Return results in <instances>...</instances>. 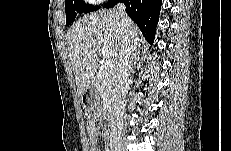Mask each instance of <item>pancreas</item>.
Instances as JSON below:
<instances>
[{"mask_svg":"<svg viewBox=\"0 0 231 151\" xmlns=\"http://www.w3.org/2000/svg\"><path fill=\"white\" fill-rule=\"evenodd\" d=\"M96 88L101 94L103 105L105 107H109L114 96V79L111 72L102 71L98 74L96 79Z\"/></svg>","mask_w":231,"mask_h":151,"instance_id":"cf45deb5","label":"pancreas"}]
</instances>
